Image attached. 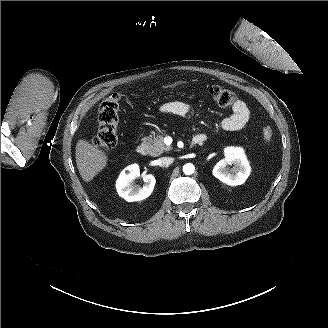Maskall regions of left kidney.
<instances>
[{"label":"left kidney","instance_id":"1","mask_svg":"<svg viewBox=\"0 0 328 328\" xmlns=\"http://www.w3.org/2000/svg\"><path fill=\"white\" fill-rule=\"evenodd\" d=\"M225 158L213 168V175L230 186L243 184L251 173V167L242 147L229 146L224 148ZM233 164L229 169L228 164Z\"/></svg>","mask_w":328,"mask_h":328}]
</instances>
